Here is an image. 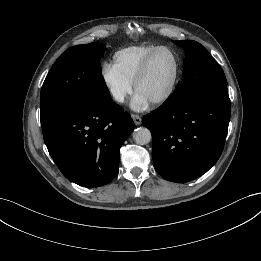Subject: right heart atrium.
<instances>
[{"label":"right heart atrium","instance_id":"d8ad5b80","mask_svg":"<svg viewBox=\"0 0 261 261\" xmlns=\"http://www.w3.org/2000/svg\"><path fill=\"white\" fill-rule=\"evenodd\" d=\"M101 79L110 97L117 104H123L133 91L131 81L122 76L112 64L101 67Z\"/></svg>","mask_w":261,"mask_h":261}]
</instances>
